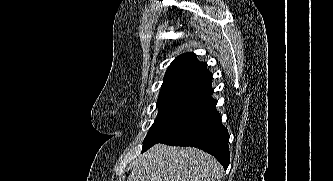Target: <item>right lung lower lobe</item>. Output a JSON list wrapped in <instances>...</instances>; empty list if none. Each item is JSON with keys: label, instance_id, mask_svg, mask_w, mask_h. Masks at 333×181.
<instances>
[{"label": "right lung lower lobe", "instance_id": "obj_1", "mask_svg": "<svg viewBox=\"0 0 333 181\" xmlns=\"http://www.w3.org/2000/svg\"><path fill=\"white\" fill-rule=\"evenodd\" d=\"M229 134L221 123V117L215 108L190 131L178 139L164 144L172 146L197 147L213 155L227 169L230 161Z\"/></svg>", "mask_w": 333, "mask_h": 181}]
</instances>
